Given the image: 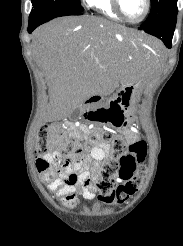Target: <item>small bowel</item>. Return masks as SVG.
Returning a JSON list of instances; mask_svg holds the SVG:
<instances>
[{"instance_id":"1","label":"small bowel","mask_w":183,"mask_h":246,"mask_svg":"<svg viewBox=\"0 0 183 246\" xmlns=\"http://www.w3.org/2000/svg\"><path fill=\"white\" fill-rule=\"evenodd\" d=\"M86 127L80 128V135L86 134ZM126 141L129 145L138 141V135L132 131H125ZM109 144L105 142L97 143L90 150L92 163L88 161L84 166L74 164L70 166H60L55 161L58 159L56 152L48 154L45 159L51 167L48 172L44 173V180L48 183L49 189L62 197L63 201L70 206L77 203L78 197L91 200L95 196L94 182L98 178L101 162L109 154ZM69 178L74 180L69 181Z\"/></svg>"}]
</instances>
